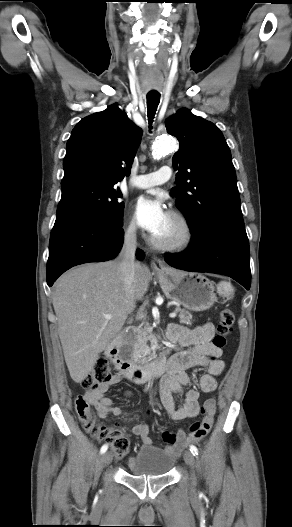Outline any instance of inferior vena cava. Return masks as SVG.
<instances>
[{
    "mask_svg": "<svg viewBox=\"0 0 292 527\" xmlns=\"http://www.w3.org/2000/svg\"><path fill=\"white\" fill-rule=\"evenodd\" d=\"M136 248V228L135 226H131L125 233L124 244L118 257V260L120 261L125 290L128 296L132 294V284L134 282L135 277Z\"/></svg>",
    "mask_w": 292,
    "mask_h": 527,
    "instance_id": "1",
    "label": "inferior vena cava"
}]
</instances>
